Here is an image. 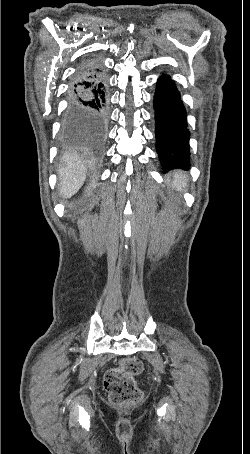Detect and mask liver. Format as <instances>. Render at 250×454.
Wrapping results in <instances>:
<instances>
[{"instance_id":"liver-1","label":"liver","mask_w":250,"mask_h":454,"mask_svg":"<svg viewBox=\"0 0 250 454\" xmlns=\"http://www.w3.org/2000/svg\"><path fill=\"white\" fill-rule=\"evenodd\" d=\"M63 165L59 166L58 178L60 194L68 199L75 195L84 184L87 169L85 164L76 156L65 155Z\"/></svg>"}]
</instances>
